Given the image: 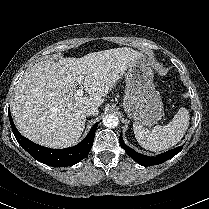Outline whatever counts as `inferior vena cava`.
Masks as SVG:
<instances>
[{"mask_svg":"<svg viewBox=\"0 0 209 209\" xmlns=\"http://www.w3.org/2000/svg\"><path fill=\"white\" fill-rule=\"evenodd\" d=\"M83 113L86 116H90V115H98L99 110L98 107L94 106V105H87L84 107L83 109Z\"/></svg>","mask_w":209,"mask_h":209,"instance_id":"obj_1","label":"inferior vena cava"}]
</instances>
